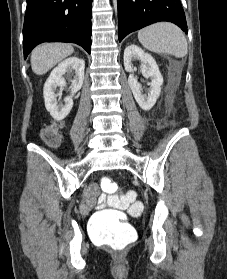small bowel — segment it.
Here are the masks:
<instances>
[{
  "mask_svg": "<svg viewBox=\"0 0 227 279\" xmlns=\"http://www.w3.org/2000/svg\"><path fill=\"white\" fill-rule=\"evenodd\" d=\"M105 206L126 210L131 214H137L142 209L141 202L135 201L133 197H107L101 193L97 184H90L85 194V202L80 207L81 212L87 214L95 208Z\"/></svg>",
  "mask_w": 227,
  "mask_h": 279,
  "instance_id": "obj_1",
  "label": "small bowel"
}]
</instances>
